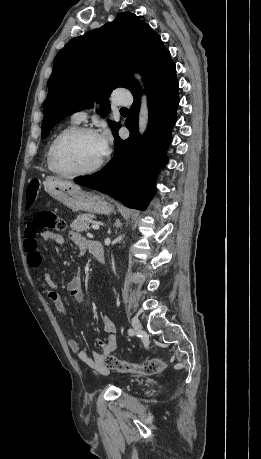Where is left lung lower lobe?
I'll return each instance as SVG.
<instances>
[{
	"instance_id": "obj_1",
	"label": "left lung lower lobe",
	"mask_w": 261,
	"mask_h": 459,
	"mask_svg": "<svg viewBox=\"0 0 261 459\" xmlns=\"http://www.w3.org/2000/svg\"><path fill=\"white\" fill-rule=\"evenodd\" d=\"M149 107L148 130L138 134V110L141 92L133 94L125 126L130 136L122 141L114 134L115 151L112 160L92 176L79 177L75 183L98 190L120 200L130 208L145 210L155 193V177L167 163L166 148L176 122L179 104L178 80L174 62L170 63L146 87ZM120 128V127H119Z\"/></svg>"
}]
</instances>
